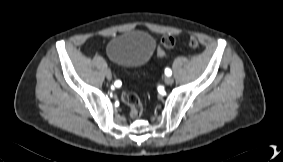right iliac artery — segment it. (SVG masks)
Masks as SVG:
<instances>
[{"label":"right iliac artery","mask_w":283,"mask_h":162,"mask_svg":"<svg viewBox=\"0 0 283 162\" xmlns=\"http://www.w3.org/2000/svg\"><path fill=\"white\" fill-rule=\"evenodd\" d=\"M115 84H116L117 86H121V81H117Z\"/></svg>","instance_id":"right-iliac-artery-1"}]
</instances>
